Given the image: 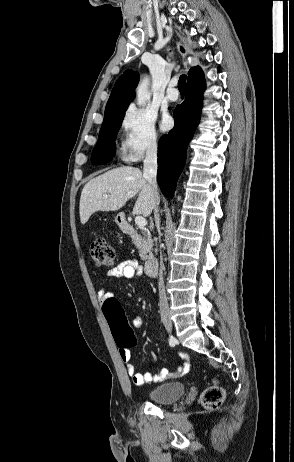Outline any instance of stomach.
Returning <instances> with one entry per match:
<instances>
[{
    "label": "stomach",
    "instance_id": "0dacf381",
    "mask_svg": "<svg viewBox=\"0 0 294 462\" xmlns=\"http://www.w3.org/2000/svg\"><path fill=\"white\" fill-rule=\"evenodd\" d=\"M115 220H116V222H118V221H119V217L117 216V217L115 218Z\"/></svg>",
    "mask_w": 294,
    "mask_h": 462
}]
</instances>
